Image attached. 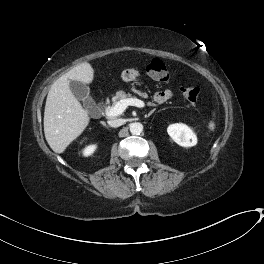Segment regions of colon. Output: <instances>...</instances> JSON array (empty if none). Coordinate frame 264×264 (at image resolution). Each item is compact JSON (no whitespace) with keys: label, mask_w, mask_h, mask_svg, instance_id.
<instances>
[{"label":"colon","mask_w":264,"mask_h":264,"mask_svg":"<svg viewBox=\"0 0 264 264\" xmlns=\"http://www.w3.org/2000/svg\"><path fill=\"white\" fill-rule=\"evenodd\" d=\"M147 74L154 80L165 82L169 79V73L165 64L159 59H152L147 66ZM183 97L196 102L200 97V89L197 87H185L181 89Z\"/></svg>","instance_id":"obj_1"}]
</instances>
